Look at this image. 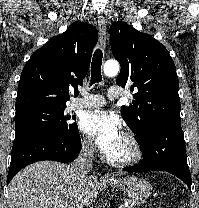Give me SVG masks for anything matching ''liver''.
<instances>
[{
  "label": "liver",
  "instance_id": "6515ba94",
  "mask_svg": "<svg viewBox=\"0 0 199 208\" xmlns=\"http://www.w3.org/2000/svg\"><path fill=\"white\" fill-rule=\"evenodd\" d=\"M94 175L81 176L71 165L40 161L22 169L8 186V208H80L97 198Z\"/></svg>",
  "mask_w": 199,
  "mask_h": 208
}]
</instances>
